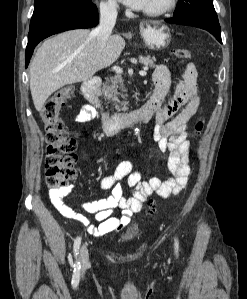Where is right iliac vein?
Returning a JSON list of instances; mask_svg holds the SVG:
<instances>
[{
	"label": "right iliac vein",
	"instance_id": "obj_1",
	"mask_svg": "<svg viewBox=\"0 0 247 299\" xmlns=\"http://www.w3.org/2000/svg\"><path fill=\"white\" fill-rule=\"evenodd\" d=\"M89 261V254L86 246H82L80 249V262L82 266H86Z\"/></svg>",
	"mask_w": 247,
	"mask_h": 299
}]
</instances>
